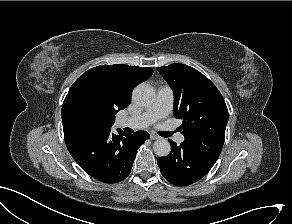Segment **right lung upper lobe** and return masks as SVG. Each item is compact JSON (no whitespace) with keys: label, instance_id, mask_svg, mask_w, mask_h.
Returning a JSON list of instances; mask_svg holds the SVG:
<instances>
[{"label":"right lung upper lobe","instance_id":"obj_1","mask_svg":"<svg viewBox=\"0 0 292 224\" xmlns=\"http://www.w3.org/2000/svg\"><path fill=\"white\" fill-rule=\"evenodd\" d=\"M153 74L149 67L102 65L81 75L69 91L88 90L97 94L116 115L130 103L133 89Z\"/></svg>","mask_w":292,"mask_h":224}]
</instances>
